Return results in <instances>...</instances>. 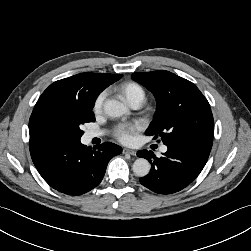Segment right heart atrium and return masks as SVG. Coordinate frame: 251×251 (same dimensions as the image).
<instances>
[{
	"label": "right heart atrium",
	"mask_w": 251,
	"mask_h": 251,
	"mask_svg": "<svg viewBox=\"0 0 251 251\" xmlns=\"http://www.w3.org/2000/svg\"><path fill=\"white\" fill-rule=\"evenodd\" d=\"M105 98H106V91H102L96 96L93 102V111L95 113L101 112Z\"/></svg>",
	"instance_id": "obj_1"
}]
</instances>
